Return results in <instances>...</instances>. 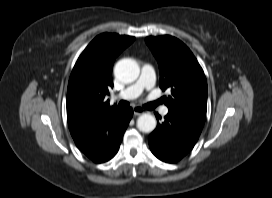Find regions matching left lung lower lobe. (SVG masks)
I'll return each instance as SVG.
<instances>
[{"instance_id":"left-lung-lower-lobe-1","label":"left lung lower lobe","mask_w":272,"mask_h":198,"mask_svg":"<svg viewBox=\"0 0 272 198\" xmlns=\"http://www.w3.org/2000/svg\"><path fill=\"white\" fill-rule=\"evenodd\" d=\"M205 120L169 111L162 124L149 135L152 153L160 160L175 163L192 150Z\"/></svg>"}]
</instances>
